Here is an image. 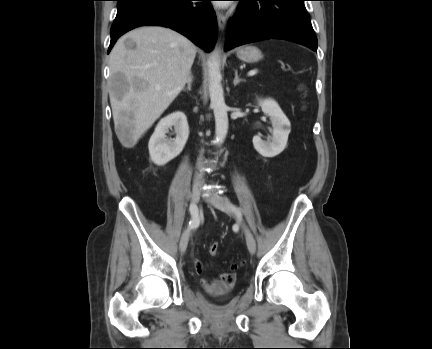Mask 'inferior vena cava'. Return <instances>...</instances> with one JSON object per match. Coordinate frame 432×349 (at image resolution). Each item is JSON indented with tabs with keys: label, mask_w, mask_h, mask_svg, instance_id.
Here are the masks:
<instances>
[{
	"label": "inferior vena cava",
	"mask_w": 432,
	"mask_h": 349,
	"mask_svg": "<svg viewBox=\"0 0 432 349\" xmlns=\"http://www.w3.org/2000/svg\"><path fill=\"white\" fill-rule=\"evenodd\" d=\"M201 179H202L201 174L196 173V176H195V179H194V184H196V185L200 184L201 183Z\"/></svg>",
	"instance_id": "inferior-vena-cava-1"
}]
</instances>
